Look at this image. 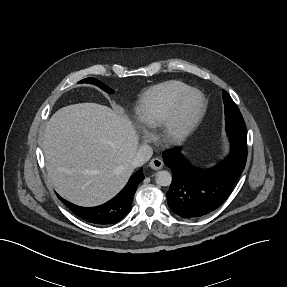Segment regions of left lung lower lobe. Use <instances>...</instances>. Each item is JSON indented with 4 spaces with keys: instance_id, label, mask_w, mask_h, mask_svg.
Returning <instances> with one entry per match:
<instances>
[{
    "instance_id": "obj_1",
    "label": "left lung lower lobe",
    "mask_w": 287,
    "mask_h": 287,
    "mask_svg": "<svg viewBox=\"0 0 287 287\" xmlns=\"http://www.w3.org/2000/svg\"><path fill=\"white\" fill-rule=\"evenodd\" d=\"M230 155L211 169L190 165L180 148L165 151L163 160L172 171L166 193L168 206L183 218H199L218 208L230 195L247 160L246 127L227 129Z\"/></svg>"
}]
</instances>
